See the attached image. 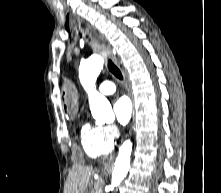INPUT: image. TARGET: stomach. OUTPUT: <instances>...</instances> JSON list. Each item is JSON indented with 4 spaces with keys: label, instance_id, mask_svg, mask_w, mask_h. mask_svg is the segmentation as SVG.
I'll use <instances>...</instances> for the list:
<instances>
[{
    "label": "stomach",
    "instance_id": "1",
    "mask_svg": "<svg viewBox=\"0 0 221 193\" xmlns=\"http://www.w3.org/2000/svg\"><path fill=\"white\" fill-rule=\"evenodd\" d=\"M77 98H61L60 99V107L64 109V115H75V112H79V102H77ZM78 159H72L71 163L75 164L76 167H79L80 164L84 163V160L81 159L82 155H77ZM88 193V192H84Z\"/></svg>",
    "mask_w": 221,
    "mask_h": 193
}]
</instances>
